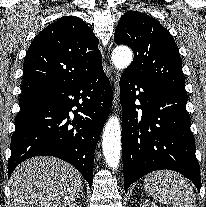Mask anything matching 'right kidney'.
Masks as SVG:
<instances>
[{
  "label": "right kidney",
  "mask_w": 206,
  "mask_h": 207,
  "mask_svg": "<svg viewBox=\"0 0 206 207\" xmlns=\"http://www.w3.org/2000/svg\"><path fill=\"white\" fill-rule=\"evenodd\" d=\"M69 207H82V205L80 203H73Z\"/></svg>",
  "instance_id": "1"
}]
</instances>
